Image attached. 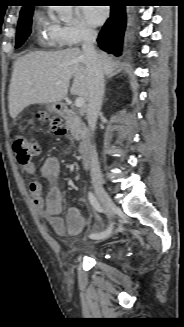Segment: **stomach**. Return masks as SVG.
Listing matches in <instances>:
<instances>
[{"label": "stomach", "instance_id": "obj_1", "mask_svg": "<svg viewBox=\"0 0 184 327\" xmlns=\"http://www.w3.org/2000/svg\"><path fill=\"white\" fill-rule=\"evenodd\" d=\"M47 108H48V110H49L50 112H53V113H58V112H59V109H58V107H57V104H49V105L47 106Z\"/></svg>", "mask_w": 184, "mask_h": 327}]
</instances>
